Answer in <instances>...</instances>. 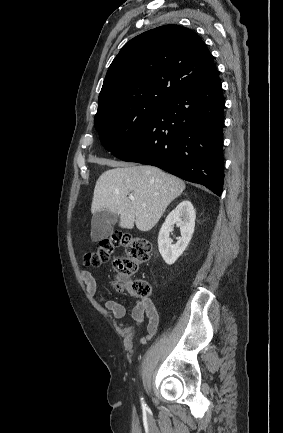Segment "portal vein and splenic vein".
<instances>
[{"label":"portal vein and splenic vein","mask_w":283,"mask_h":433,"mask_svg":"<svg viewBox=\"0 0 283 433\" xmlns=\"http://www.w3.org/2000/svg\"><path fill=\"white\" fill-rule=\"evenodd\" d=\"M130 200H135L134 196H129Z\"/></svg>","instance_id":"portal-vein-and-splenic-vein-1"}]
</instances>
